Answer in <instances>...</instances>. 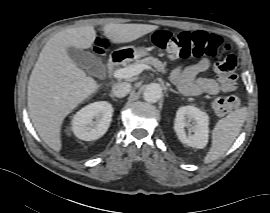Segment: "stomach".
Instances as JSON below:
<instances>
[{
    "mask_svg": "<svg viewBox=\"0 0 270 213\" xmlns=\"http://www.w3.org/2000/svg\"><path fill=\"white\" fill-rule=\"evenodd\" d=\"M123 56V59L127 61H131L134 59H139L141 57H144L149 54V50L146 48H140V47H134V46H128L118 49Z\"/></svg>",
    "mask_w": 270,
    "mask_h": 213,
    "instance_id": "1",
    "label": "stomach"
}]
</instances>
